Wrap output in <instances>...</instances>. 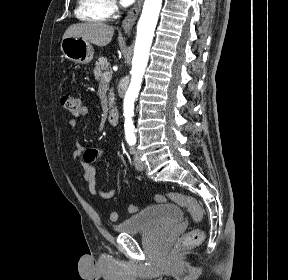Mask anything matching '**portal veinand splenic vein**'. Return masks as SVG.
<instances>
[{
    "label": "portal vein and splenic vein",
    "mask_w": 288,
    "mask_h": 280,
    "mask_svg": "<svg viewBox=\"0 0 288 280\" xmlns=\"http://www.w3.org/2000/svg\"><path fill=\"white\" fill-rule=\"evenodd\" d=\"M111 77H112V74H111L110 72H106V73L104 74V79H105V81H109V80L111 79Z\"/></svg>",
    "instance_id": "18ae733b"
}]
</instances>
